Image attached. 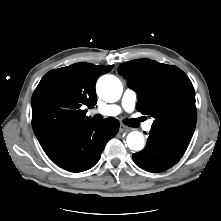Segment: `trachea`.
<instances>
[{"instance_id":"3493384b","label":"trachea","mask_w":221,"mask_h":221,"mask_svg":"<svg viewBox=\"0 0 221 221\" xmlns=\"http://www.w3.org/2000/svg\"><path fill=\"white\" fill-rule=\"evenodd\" d=\"M96 117H98L97 120H102V116L101 115H96ZM141 121V118L138 119H128L125 120L124 123L130 127H137L138 123Z\"/></svg>"}]
</instances>
